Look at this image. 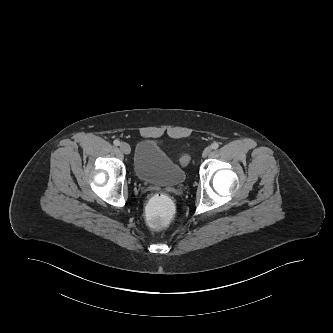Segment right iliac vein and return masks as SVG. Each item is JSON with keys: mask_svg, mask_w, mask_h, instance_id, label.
Segmentation results:
<instances>
[{"mask_svg": "<svg viewBox=\"0 0 333 333\" xmlns=\"http://www.w3.org/2000/svg\"><path fill=\"white\" fill-rule=\"evenodd\" d=\"M120 150L124 153V154H129L131 151L130 146L127 143H121L120 144Z\"/></svg>", "mask_w": 333, "mask_h": 333, "instance_id": "63e3f726", "label": "right iliac vein"}]
</instances>
